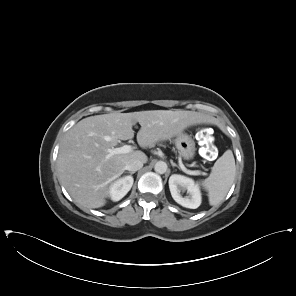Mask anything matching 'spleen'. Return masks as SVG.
Here are the masks:
<instances>
[{
  "instance_id": "spleen-1",
  "label": "spleen",
  "mask_w": 296,
  "mask_h": 296,
  "mask_svg": "<svg viewBox=\"0 0 296 296\" xmlns=\"http://www.w3.org/2000/svg\"><path fill=\"white\" fill-rule=\"evenodd\" d=\"M235 159L231 150H227L214 164L210 176L201 181L208 192L209 204H219L227 195L235 177Z\"/></svg>"
}]
</instances>
